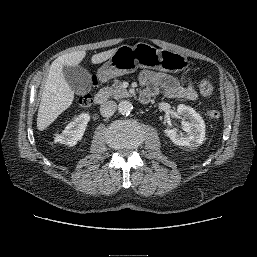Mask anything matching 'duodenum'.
Masks as SVG:
<instances>
[{"instance_id": "duodenum-1", "label": "duodenum", "mask_w": 257, "mask_h": 257, "mask_svg": "<svg viewBox=\"0 0 257 257\" xmlns=\"http://www.w3.org/2000/svg\"><path fill=\"white\" fill-rule=\"evenodd\" d=\"M107 97H108L107 91L102 90V91H99L95 95L94 101H95L96 104L102 105L106 101Z\"/></svg>"}]
</instances>
